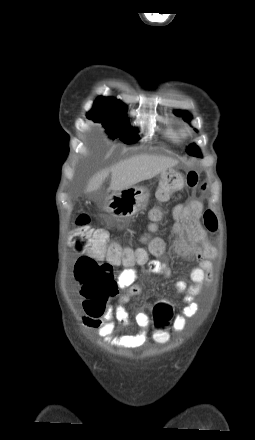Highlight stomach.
I'll return each instance as SVG.
<instances>
[{"instance_id":"obj_1","label":"stomach","mask_w":255,"mask_h":440,"mask_svg":"<svg viewBox=\"0 0 255 440\" xmlns=\"http://www.w3.org/2000/svg\"><path fill=\"white\" fill-rule=\"evenodd\" d=\"M174 172L173 169H165L162 171V177L165 178ZM149 197L150 194L146 188L132 186L109 195L103 203V209L115 221L127 223L147 206Z\"/></svg>"}]
</instances>
